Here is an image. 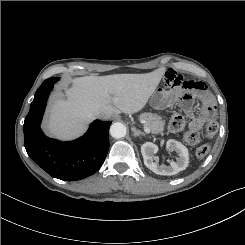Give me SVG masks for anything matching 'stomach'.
I'll return each mask as SVG.
<instances>
[{"mask_svg":"<svg viewBox=\"0 0 245 245\" xmlns=\"http://www.w3.org/2000/svg\"><path fill=\"white\" fill-rule=\"evenodd\" d=\"M174 97L165 85L159 86L150 98V105L157 110H163L172 104Z\"/></svg>","mask_w":245,"mask_h":245,"instance_id":"0dacf381","label":"stomach"}]
</instances>
